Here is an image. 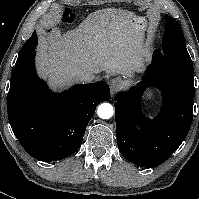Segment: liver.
I'll return each instance as SVG.
<instances>
[{"mask_svg": "<svg viewBox=\"0 0 199 199\" xmlns=\"http://www.w3.org/2000/svg\"><path fill=\"white\" fill-rule=\"evenodd\" d=\"M143 19L123 9L90 14L74 30L41 41L38 69L53 87L79 82L80 73L121 74L130 79L142 62Z\"/></svg>", "mask_w": 199, "mask_h": 199, "instance_id": "6515ba94", "label": "liver"}]
</instances>
